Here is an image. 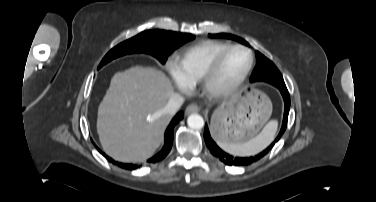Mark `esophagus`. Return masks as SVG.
<instances>
[{
  "label": "esophagus",
  "mask_w": 376,
  "mask_h": 202,
  "mask_svg": "<svg viewBox=\"0 0 376 202\" xmlns=\"http://www.w3.org/2000/svg\"><path fill=\"white\" fill-rule=\"evenodd\" d=\"M200 110V108L196 105V104H190L187 106L185 112L186 114H191V113H194V112H198Z\"/></svg>",
  "instance_id": "obj_1"
}]
</instances>
